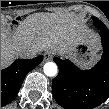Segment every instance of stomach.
I'll list each match as a JSON object with an SVG mask.
<instances>
[{"instance_id": "stomach-1", "label": "stomach", "mask_w": 109, "mask_h": 109, "mask_svg": "<svg viewBox=\"0 0 109 109\" xmlns=\"http://www.w3.org/2000/svg\"><path fill=\"white\" fill-rule=\"evenodd\" d=\"M65 54L80 68H89L98 60L99 48L80 43L71 46Z\"/></svg>"}]
</instances>
